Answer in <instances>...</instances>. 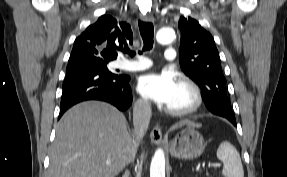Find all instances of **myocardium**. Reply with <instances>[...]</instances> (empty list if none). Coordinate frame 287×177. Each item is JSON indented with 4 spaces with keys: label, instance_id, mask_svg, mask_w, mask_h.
Listing matches in <instances>:
<instances>
[{
    "label": "myocardium",
    "instance_id": "f54148a6",
    "mask_svg": "<svg viewBox=\"0 0 287 177\" xmlns=\"http://www.w3.org/2000/svg\"><path fill=\"white\" fill-rule=\"evenodd\" d=\"M178 85L187 91L189 95V103L180 107L167 106L166 112L173 116H183L191 114L202 105V92L198 85L188 78L180 79Z\"/></svg>",
    "mask_w": 287,
    "mask_h": 177
}]
</instances>
